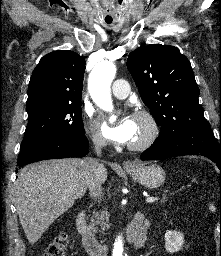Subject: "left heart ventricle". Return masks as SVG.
Here are the masks:
<instances>
[{
	"label": "left heart ventricle",
	"mask_w": 221,
	"mask_h": 256,
	"mask_svg": "<svg viewBox=\"0 0 221 256\" xmlns=\"http://www.w3.org/2000/svg\"><path fill=\"white\" fill-rule=\"evenodd\" d=\"M135 123H136V133L133 137L132 142L138 141L141 138H143L147 131L146 123L142 119L135 117Z\"/></svg>",
	"instance_id": "left-heart-ventricle-1"
}]
</instances>
